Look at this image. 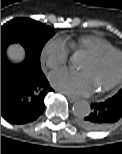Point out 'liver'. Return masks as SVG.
I'll return each instance as SVG.
<instances>
[{"instance_id": "1", "label": "liver", "mask_w": 122, "mask_h": 154, "mask_svg": "<svg viewBox=\"0 0 122 154\" xmlns=\"http://www.w3.org/2000/svg\"><path fill=\"white\" fill-rule=\"evenodd\" d=\"M7 56L13 62H20L25 57V51L19 44H12L7 49Z\"/></svg>"}]
</instances>
